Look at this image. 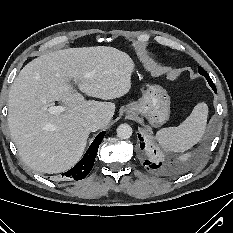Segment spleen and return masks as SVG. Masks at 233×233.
<instances>
[{
	"label": "spleen",
	"mask_w": 233,
	"mask_h": 233,
	"mask_svg": "<svg viewBox=\"0 0 233 233\" xmlns=\"http://www.w3.org/2000/svg\"><path fill=\"white\" fill-rule=\"evenodd\" d=\"M208 106L198 103L179 126L159 130L156 138L167 151L183 152L199 142L206 130Z\"/></svg>",
	"instance_id": "spleen-1"
}]
</instances>
